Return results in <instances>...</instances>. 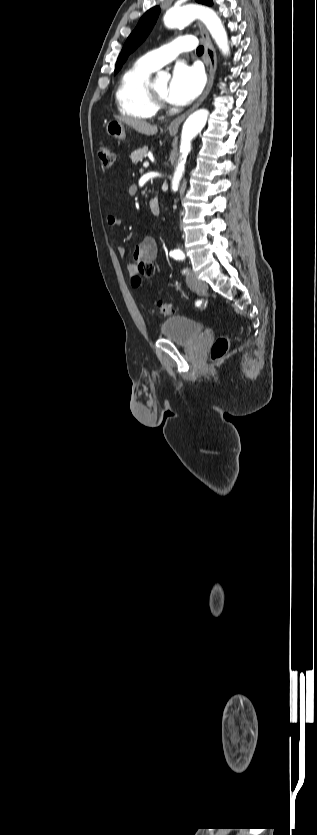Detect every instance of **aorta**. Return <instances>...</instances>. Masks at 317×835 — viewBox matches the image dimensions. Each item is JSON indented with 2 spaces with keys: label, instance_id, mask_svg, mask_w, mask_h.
<instances>
[{
  "label": "aorta",
  "instance_id": "1",
  "mask_svg": "<svg viewBox=\"0 0 317 835\" xmlns=\"http://www.w3.org/2000/svg\"><path fill=\"white\" fill-rule=\"evenodd\" d=\"M195 19H200L205 24L221 53L228 55L230 50L226 30L221 19L212 9L199 5H185L171 7L163 14L164 24L169 27L188 25ZM158 78L168 81L170 75L162 72L158 74ZM208 115L209 112L206 109L197 110L186 119L183 125L180 144V162L172 178V188H177L179 185L185 170L186 158L191 151V141L205 127Z\"/></svg>",
  "mask_w": 317,
  "mask_h": 835
}]
</instances>
